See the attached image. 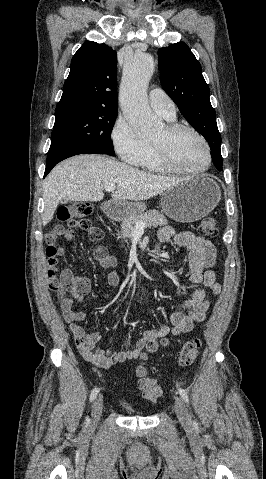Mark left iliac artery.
Listing matches in <instances>:
<instances>
[{"instance_id": "left-iliac-artery-1", "label": "left iliac artery", "mask_w": 266, "mask_h": 479, "mask_svg": "<svg viewBox=\"0 0 266 479\" xmlns=\"http://www.w3.org/2000/svg\"><path fill=\"white\" fill-rule=\"evenodd\" d=\"M178 391H179L180 396H181L182 399L184 400V402H185L186 404H189V396H188L187 391H186L185 389H183V388H179Z\"/></svg>"}]
</instances>
